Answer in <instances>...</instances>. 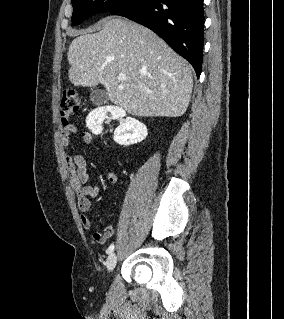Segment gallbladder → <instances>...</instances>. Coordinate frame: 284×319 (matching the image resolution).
<instances>
[{"instance_id":"obj_1","label":"gallbladder","mask_w":284,"mask_h":319,"mask_svg":"<svg viewBox=\"0 0 284 319\" xmlns=\"http://www.w3.org/2000/svg\"><path fill=\"white\" fill-rule=\"evenodd\" d=\"M90 99L95 105H105L109 102L107 92L99 89H92Z\"/></svg>"}]
</instances>
